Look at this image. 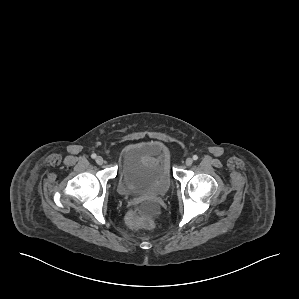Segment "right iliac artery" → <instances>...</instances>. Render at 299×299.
I'll use <instances>...</instances> for the list:
<instances>
[{
	"label": "right iliac artery",
	"mask_w": 299,
	"mask_h": 299,
	"mask_svg": "<svg viewBox=\"0 0 299 299\" xmlns=\"http://www.w3.org/2000/svg\"><path fill=\"white\" fill-rule=\"evenodd\" d=\"M91 157H92L93 159H95V158L97 157V155H96L95 153H93V154L91 155Z\"/></svg>",
	"instance_id": "1"
}]
</instances>
